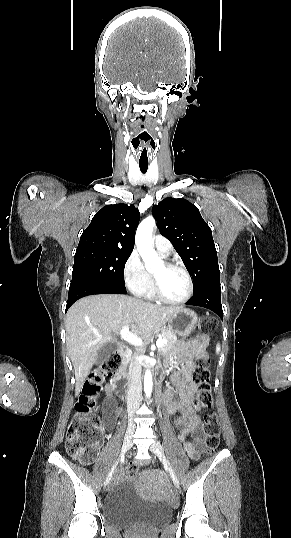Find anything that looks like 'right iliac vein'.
I'll list each match as a JSON object with an SVG mask.
<instances>
[{
  "mask_svg": "<svg viewBox=\"0 0 291 538\" xmlns=\"http://www.w3.org/2000/svg\"><path fill=\"white\" fill-rule=\"evenodd\" d=\"M134 429H135V426L133 423H129L128 424V427H127V431H126V434H125V438H124V441H123V446H122V451H121V454L120 456L122 457L132 446V436H133V432H134ZM118 461H116V463L113 465V467L111 468L109 474L107 475L106 479H105V482H104V485H108V483L110 482V479L112 477V474L115 472L116 470V467H117V464H118Z\"/></svg>",
  "mask_w": 291,
  "mask_h": 538,
  "instance_id": "obj_1",
  "label": "right iliac vein"
}]
</instances>
